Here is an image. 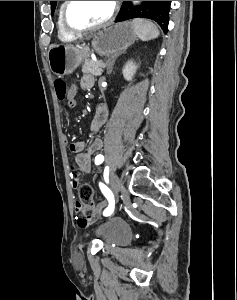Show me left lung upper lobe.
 Here are the masks:
<instances>
[{"mask_svg": "<svg viewBox=\"0 0 237 300\" xmlns=\"http://www.w3.org/2000/svg\"><path fill=\"white\" fill-rule=\"evenodd\" d=\"M57 1H50L53 12ZM170 6L165 1H144L139 7H133L130 1H123L120 14L116 22L136 17L149 18L156 21L163 31L167 33Z\"/></svg>", "mask_w": 237, "mask_h": 300, "instance_id": "1", "label": "left lung upper lobe"}]
</instances>
